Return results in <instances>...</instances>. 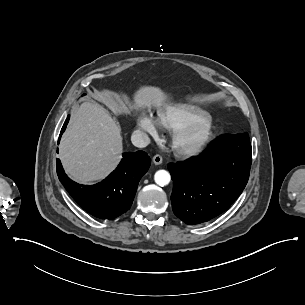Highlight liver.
Masks as SVG:
<instances>
[{"label":"liver","instance_id":"6515ba94","mask_svg":"<svg viewBox=\"0 0 305 305\" xmlns=\"http://www.w3.org/2000/svg\"><path fill=\"white\" fill-rule=\"evenodd\" d=\"M113 95V92H107L102 94L101 99L118 111ZM126 99L132 108V98L126 95ZM162 99L159 91L146 89L138 95L137 102L140 105L153 102L159 106ZM59 150L62 163L74 180L88 183L102 179L121 159V128L102 105L84 102L72 111Z\"/></svg>","mask_w":305,"mask_h":305}]
</instances>
